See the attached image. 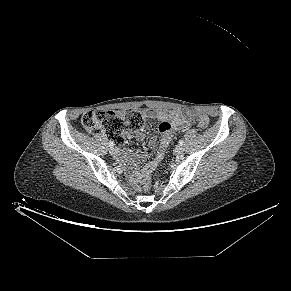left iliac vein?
I'll list each match as a JSON object with an SVG mask.
<instances>
[{"label": "left iliac vein", "instance_id": "left-iliac-vein-1", "mask_svg": "<svg viewBox=\"0 0 291 291\" xmlns=\"http://www.w3.org/2000/svg\"><path fill=\"white\" fill-rule=\"evenodd\" d=\"M184 151H185V149H184V147L181 146V145H179V146H177V147L175 148V153H176L177 155H181V154H183Z\"/></svg>", "mask_w": 291, "mask_h": 291}]
</instances>
